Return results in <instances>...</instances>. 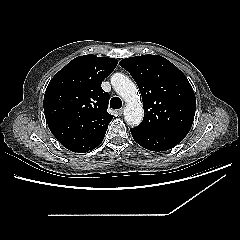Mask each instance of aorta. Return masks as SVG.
Listing matches in <instances>:
<instances>
[{
	"label": "aorta",
	"mask_w": 240,
	"mask_h": 240,
	"mask_svg": "<svg viewBox=\"0 0 240 240\" xmlns=\"http://www.w3.org/2000/svg\"><path fill=\"white\" fill-rule=\"evenodd\" d=\"M111 84L116 93L125 101L124 118L127 124L137 126L143 118V106L135 84L124 74L115 73L111 77Z\"/></svg>",
	"instance_id": "obj_1"
}]
</instances>
